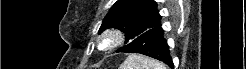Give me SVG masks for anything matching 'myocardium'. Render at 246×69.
<instances>
[{"instance_id":"f54148a6","label":"myocardium","mask_w":246,"mask_h":69,"mask_svg":"<svg viewBox=\"0 0 246 69\" xmlns=\"http://www.w3.org/2000/svg\"><path fill=\"white\" fill-rule=\"evenodd\" d=\"M122 40L123 38L118 31L111 30L102 36L100 40V46H103L104 43H107L108 47L106 50H111L116 48L122 42Z\"/></svg>"}]
</instances>
